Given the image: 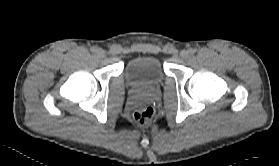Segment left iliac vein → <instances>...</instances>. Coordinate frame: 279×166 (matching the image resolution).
<instances>
[{
	"label": "left iliac vein",
	"instance_id": "obj_1",
	"mask_svg": "<svg viewBox=\"0 0 279 166\" xmlns=\"http://www.w3.org/2000/svg\"><path fill=\"white\" fill-rule=\"evenodd\" d=\"M182 59H187L189 57V52L187 50H183L180 53Z\"/></svg>",
	"mask_w": 279,
	"mask_h": 166
}]
</instances>
